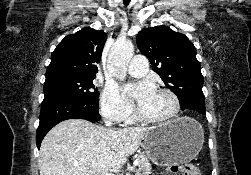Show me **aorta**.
Returning a JSON list of instances; mask_svg holds the SVG:
<instances>
[{
	"mask_svg": "<svg viewBox=\"0 0 251 175\" xmlns=\"http://www.w3.org/2000/svg\"><path fill=\"white\" fill-rule=\"evenodd\" d=\"M133 54L132 42H115L112 46L107 60V70L115 80H125L128 64L133 58Z\"/></svg>",
	"mask_w": 251,
	"mask_h": 175,
	"instance_id": "aorta-1",
	"label": "aorta"
}]
</instances>
